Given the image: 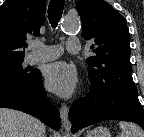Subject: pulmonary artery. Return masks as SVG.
<instances>
[{
    "mask_svg": "<svg viewBox=\"0 0 144 137\" xmlns=\"http://www.w3.org/2000/svg\"><path fill=\"white\" fill-rule=\"evenodd\" d=\"M31 47L35 49L28 58L31 63L57 59L63 52L62 45H45L38 41L32 42ZM65 48L69 53H78L80 51V43L75 38H68L65 42Z\"/></svg>",
    "mask_w": 144,
    "mask_h": 137,
    "instance_id": "1",
    "label": "pulmonary artery"
}]
</instances>
